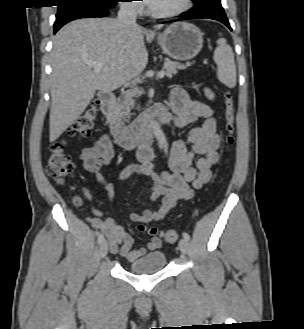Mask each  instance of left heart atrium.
<instances>
[{"instance_id": "39dd6f15", "label": "left heart atrium", "mask_w": 304, "mask_h": 329, "mask_svg": "<svg viewBox=\"0 0 304 329\" xmlns=\"http://www.w3.org/2000/svg\"><path fill=\"white\" fill-rule=\"evenodd\" d=\"M153 0H145V3L150 5Z\"/></svg>"}]
</instances>
